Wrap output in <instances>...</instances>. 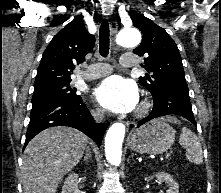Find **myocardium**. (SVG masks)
<instances>
[{
	"label": "myocardium",
	"mask_w": 221,
	"mask_h": 193,
	"mask_svg": "<svg viewBox=\"0 0 221 193\" xmlns=\"http://www.w3.org/2000/svg\"><path fill=\"white\" fill-rule=\"evenodd\" d=\"M147 108H148V104L147 103H142L141 104V106L139 107V109H138V115H142V114H144L145 112H146V110H147Z\"/></svg>",
	"instance_id": "obj_1"
}]
</instances>
